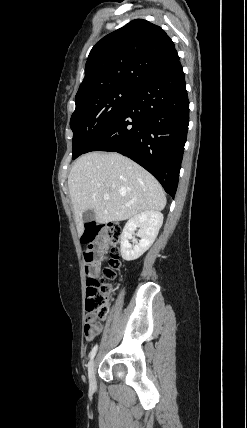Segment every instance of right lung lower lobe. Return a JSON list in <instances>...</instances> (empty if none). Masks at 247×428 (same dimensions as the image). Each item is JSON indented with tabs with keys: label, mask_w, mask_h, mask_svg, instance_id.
<instances>
[{
	"label": "right lung lower lobe",
	"mask_w": 247,
	"mask_h": 428,
	"mask_svg": "<svg viewBox=\"0 0 247 428\" xmlns=\"http://www.w3.org/2000/svg\"><path fill=\"white\" fill-rule=\"evenodd\" d=\"M189 124L184 73L177 60L147 82L89 145L127 156L149 171L174 198Z\"/></svg>",
	"instance_id": "right-lung-lower-lobe-1"
}]
</instances>
